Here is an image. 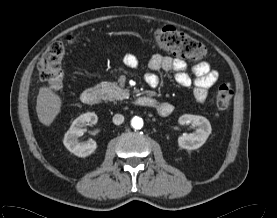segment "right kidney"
Returning <instances> with one entry per match:
<instances>
[{"mask_svg": "<svg viewBox=\"0 0 277 218\" xmlns=\"http://www.w3.org/2000/svg\"><path fill=\"white\" fill-rule=\"evenodd\" d=\"M98 117L94 112H87L77 117L69 130L65 133L63 143L65 147L78 157H87L95 152L97 144L94 140L80 141L83 135V127L88 124H96Z\"/></svg>", "mask_w": 277, "mask_h": 218, "instance_id": "1", "label": "right kidney"}]
</instances>
